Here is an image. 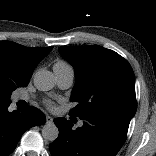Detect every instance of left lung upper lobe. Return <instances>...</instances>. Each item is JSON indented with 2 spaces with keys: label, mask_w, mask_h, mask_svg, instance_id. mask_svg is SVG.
<instances>
[{
  "label": "left lung upper lobe",
  "mask_w": 156,
  "mask_h": 156,
  "mask_svg": "<svg viewBox=\"0 0 156 156\" xmlns=\"http://www.w3.org/2000/svg\"><path fill=\"white\" fill-rule=\"evenodd\" d=\"M59 51L75 70L71 115L80 119L111 116L130 123L135 115V76L118 53L98 45L62 46Z\"/></svg>",
  "instance_id": "obj_1"
}]
</instances>
